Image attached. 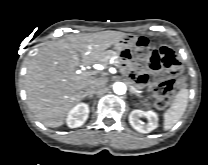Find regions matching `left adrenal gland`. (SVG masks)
Returning a JSON list of instances; mask_svg holds the SVG:
<instances>
[{"label": "left adrenal gland", "mask_w": 208, "mask_h": 165, "mask_svg": "<svg viewBox=\"0 0 208 165\" xmlns=\"http://www.w3.org/2000/svg\"><path fill=\"white\" fill-rule=\"evenodd\" d=\"M130 93L135 94L136 96L140 97V94L138 93V91L135 90L133 87L130 88Z\"/></svg>", "instance_id": "left-adrenal-gland-1"}]
</instances>
